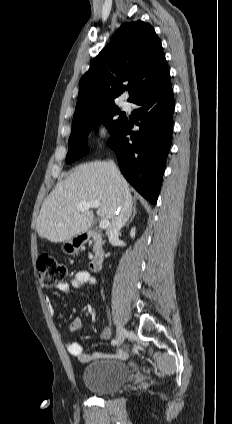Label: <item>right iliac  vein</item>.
Here are the masks:
<instances>
[{"label":"right iliac vein","instance_id":"1","mask_svg":"<svg viewBox=\"0 0 232 424\" xmlns=\"http://www.w3.org/2000/svg\"><path fill=\"white\" fill-rule=\"evenodd\" d=\"M128 335L127 330L123 326H118L117 328V345H121L126 336Z\"/></svg>","mask_w":232,"mask_h":424}]
</instances>
